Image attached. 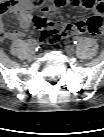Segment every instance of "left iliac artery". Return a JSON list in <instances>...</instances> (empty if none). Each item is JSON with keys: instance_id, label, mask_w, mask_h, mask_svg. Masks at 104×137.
<instances>
[{"instance_id": "1", "label": "left iliac artery", "mask_w": 104, "mask_h": 137, "mask_svg": "<svg viewBox=\"0 0 104 137\" xmlns=\"http://www.w3.org/2000/svg\"><path fill=\"white\" fill-rule=\"evenodd\" d=\"M78 43H79V39L78 38H74L73 39V44L78 45Z\"/></svg>"}]
</instances>
